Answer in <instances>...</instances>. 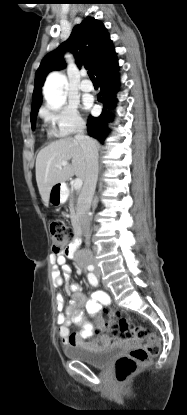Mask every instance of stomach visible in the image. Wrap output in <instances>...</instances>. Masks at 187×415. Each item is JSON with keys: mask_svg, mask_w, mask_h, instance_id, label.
Returning <instances> with one entry per match:
<instances>
[{"mask_svg": "<svg viewBox=\"0 0 187 415\" xmlns=\"http://www.w3.org/2000/svg\"><path fill=\"white\" fill-rule=\"evenodd\" d=\"M65 192V185L58 183L54 185L50 191L49 201L52 205H59L62 203V197Z\"/></svg>", "mask_w": 187, "mask_h": 415, "instance_id": "0dacf381", "label": "stomach"}]
</instances>
